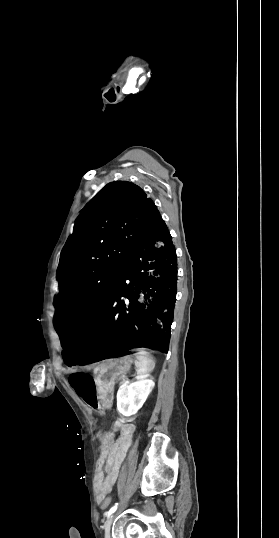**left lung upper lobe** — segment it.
<instances>
[{"mask_svg":"<svg viewBox=\"0 0 279 538\" xmlns=\"http://www.w3.org/2000/svg\"><path fill=\"white\" fill-rule=\"evenodd\" d=\"M160 217L137 185H106L83 209L61 251L59 294L54 326L64 333L84 332L95 321L132 252Z\"/></svg>","mask_w":279,"mask_h":538,"instance_id":"left-lung-upper-lobe-1","label":"left lung upper lobe"}]
</instances>
